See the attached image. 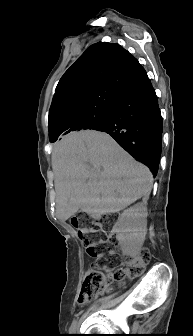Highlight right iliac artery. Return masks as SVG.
Wrapping results in <instances>:
<instances>
[{"label":"right iliac artery","instance_id":"right-iliac-artery-1","mask_svg":"<svg viewBox=\"0 0 193 336\" xmlns=\"http://www.w3.org/2000/svg\"><path fill=\"white\" fill-rule=\"evenodd\" d=\"M76 323H77V321L76 320H74L73 322H72V324H71V326H70V332H74L75 331V329H76Z\"/></svg>","mask_w":193,"mask_h":336}]
</instances>
